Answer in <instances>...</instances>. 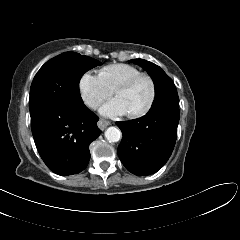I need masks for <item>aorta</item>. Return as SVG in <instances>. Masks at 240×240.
<instances>
[{"mask_svg":"<svg viewBox=\"0 0 240 240\" xmlns=\"http://www.w3.org/2000/svg\"><path fill=\"white\" fill-rule=\"evenodd\" d=\"M105 137L109 142H118L121 138V131L116 127H109L105 131Z\"/></svg>","mask_w":240,"mask_h":240,"instance_id":"obj_1","label":"aorta"}]
</instances>
